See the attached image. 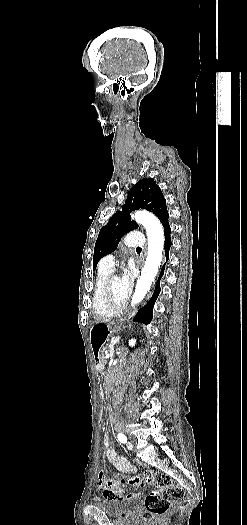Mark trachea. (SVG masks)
Instances as JSON below:
<instances>
[{
    "instance_id": "obj_1",
    "label": "trachea",
    "mask_w": 247,
    "mask_h": 525,
    "mask_svg": "<svg viewBox=\"0 0 247 525\" xmlns=\"http://www.w3.org/2000/svg\"><path fill=\"white\" fill-rule=\"evenodd\" d=\"M137 249H141V247H137Z\"/></svg>"
}]
</instances>
